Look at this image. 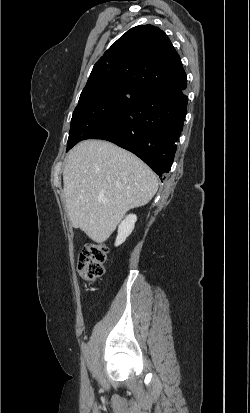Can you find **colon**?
<instances>
[{
    "label": "colon",
    "instance_id": "1",
    "mask_svg": "<svg viewBox=\"0 0 250 413\" xmlns=\"http://www.w3.org/2000/svg\"><path fill=\"white\" fill-rule=\"evenodd\" d=\"M108 249L100 243H87L83 246L77 265L78 274L87 282L100 278L104 272Z\"/></svg>",
    "mask_w": 250,
    "mask_h": 413
}]
</instances>
